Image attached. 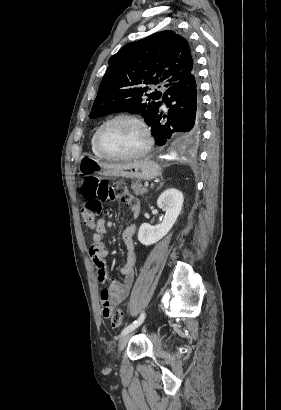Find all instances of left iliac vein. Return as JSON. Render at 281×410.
Wrapping results in <instances>:
<instances>
[{
    "label": "left iliac vein",
    "instance_id": "obj_1",
    "mask_svg": "<svg viewBox=\"0 0 281 410\" xmlns=\"http://www.w3.org/2000/svg\"><path fill=\"white\" fill-rule=\"evenodd\" d=\"M133 334H134V331L132 330V331H130V332L124 334V335L121 337V339H120V341H119V344H118V354H120V353L123 351V349L126 347L128 341H129V339L131 338V336H132Z\"/></svg>",
    "mask_w": 281,
    "mask_h": 410
}]
</instances>
